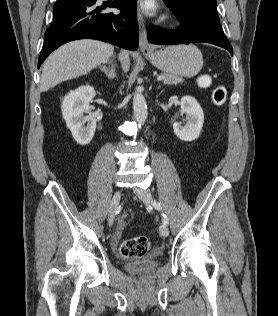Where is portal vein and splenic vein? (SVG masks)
Masks as SVG:
<instances>
[{
    "label": "portal vein and splenic vein",
    "instance_id": "obj_1",
    "mask_svg": "<svg viewBox=\"0 0 278 316\" xmlns=\"http://www.w3.org/2000/svg\"><path fill=\"white\" fill-rule=\"evenodd\" d=\"M157 80H158V81L164 80V76H158V77H157Z\"/></svg>",
    "mask_w": 278,
    "mask_h": 316
}]
</instances>
